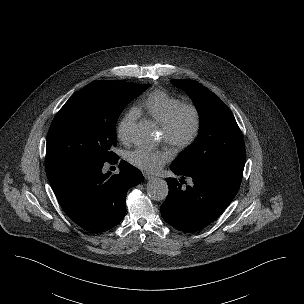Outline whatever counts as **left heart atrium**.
<instances>
[{"label":"left heart atrium","mask_w":304,"mask_h":304,"mask_svg":"<svg viewBox=\"0 0 304 304\" xmlns=\"http://www.w3.org/2000/svg\"><path fill=\"white\" fill-rule=\"evenodd\" d=\"M172 157L169 149L147 150L137 148L127 154L128 162L146 172H155Z\"/></svg>","instance_id":"left-heart-atrium-1"}]
</instances>
